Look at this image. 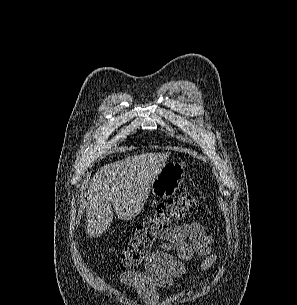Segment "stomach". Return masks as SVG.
I'll return each mask as SVG.
<instances>
[{
    "instance_id": "obj_1",
    "label": "stomach",
    "mask_w": 297,
    "mask_h": 305,
    "mask_svg": "<svg viewBox=\"0 0 297 305\" xmlns=\"http://www.w3.org/2000/svg\"><path fill=\"white\" fill-rule=\"evenodd\" d=\"M185 177L182 162H166L153 180L150 190L157 198H170L180 188Z\"/></svg>"
}]
</instances>
